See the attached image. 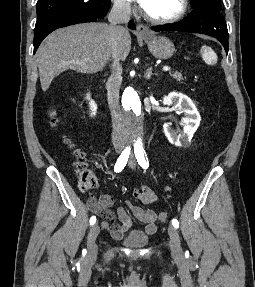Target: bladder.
<instances>
[{"instance_id": "bladder-1", "label": "bladder", "mask_w": 255, "mask_h": 287, "mask_svg": "<svg viewBox=\"0 0 255 287\" xmlns=\"http://www.w3.org/2000/svg\"><path fill=\"white\" fill-rule=\"evenodd\" d=\"M121 241L128 247H143L149 243V235L142 230H133L123 237Z\"/></svg>"}]
</instances>
